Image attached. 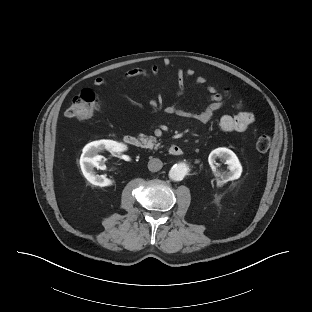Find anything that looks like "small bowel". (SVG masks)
Masks as SVG:
<instances>
[{
  "label": "small bowel",
  "instance_id": "c3829d8e",
  "mask_svg": "<svg viewBox=\"0 0 312 312\" xmlns=\"http://www.w3.org/2000/svg\"><path fill=\"white\" fill-rule=\"evenodd\" d=\"M193 75L192 71L183 72L179 70L176 73L177 78V91L176 97L180 98L186 88L187 79L191 78ZM160 76V70L157 65H152L150 71L143 67H136L129 71H127L123 75L124 80H129L137 77H149L158 79ZM106 83V79L103 77H97L94 80L95 86H102ZM195 85H204L206 83V79L202 76H199L195 79ZM207 91L209 92V99L206 107L199 111H187L181 108L177 103H172L165 107L164 111L170 115H176L179 117H184L192 120H196L201 123L209 122L215 114L222 108L223 99L220 94H218L216 88L214 86H208ZM126 100L134 107L138 109H142V104L130 99L126 98ZM152 106L154 108H159L161 106V102L159 99H155L152 101ZM254 121V116L250 112H240L235 115H224L220 118L219 125L222 130L226 132H242L245 131Z\"/></svg>",
  "mask_w": 312,
  "mask_h": 312
}]
</instances>
